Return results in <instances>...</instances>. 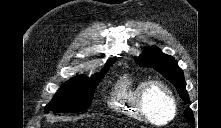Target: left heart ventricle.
Masks as SVG:
<instances>
[{
	"label": "left heart ventricle",
	"mask_w": 221,
	"mask_h": 128,
	"mask_svg": "<svg viewBox=\"0 0 221 128\" xmlns=\"http://www.w3.org/2000/svg\"><path fill=\"white\" fill-rule=\"evenodd\" d=\"M147 109L157 123L165 122L172 112L166 96L159 90H154L150 93L147 100Z\"/></svg>",
	"instance_id": "1"
}]
</instances>
